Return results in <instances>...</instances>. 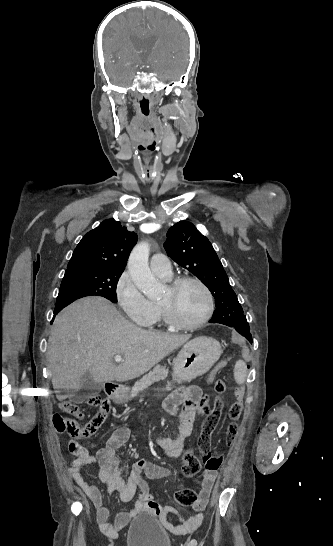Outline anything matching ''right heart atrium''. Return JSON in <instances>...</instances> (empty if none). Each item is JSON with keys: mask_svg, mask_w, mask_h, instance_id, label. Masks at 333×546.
I'll list each match as a JSON object with an SVG mask.
<instances>
[{"mask_svg": "<svg viewBox=\"0 0 333 546\" xmlns=\"http://www.w3.org/2000/svg\"><path fill=\"white\" fill-rule=\"evenodd\" d=\"M115 297L126 317L139 325H149L156 317V306L140 291L129 272L117 280Z\"/></svg>", "mask_w": 333, "mask_h": 546, "instance_id": "d8ad5b80", "label": "right heart atrium"}]
</instances>
